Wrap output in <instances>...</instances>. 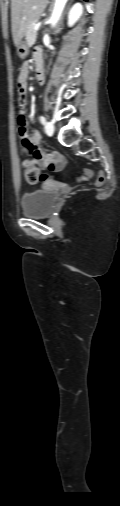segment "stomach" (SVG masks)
<instances>
[{"label": "stomach", "mask_w": 120, "mask_h": 506, "mask_svg": "<svg viewBox=\"0 0 120 506\" xmlns=\"http://www.w3.org/2000/svg\"><path fill=\"white\" fill-rule=\"evenodd\" d=\"M29 46L26 41L21 40L17 45V54L23 59L28 55Z\"/></svg>", "instance_id": "stomach-1"}]
</instances>
